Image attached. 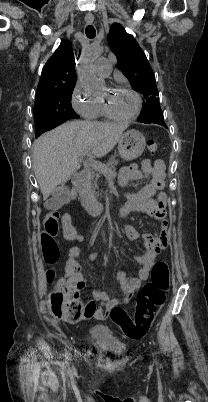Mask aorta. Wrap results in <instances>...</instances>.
Segmentation results:
<instances>
[{"instance_id":"obj_1","label":"aorta","mask_w":208,"mask_h":402,"mask_svg":"<svg viewBox=\"0 0 208 402\" xmlns=\"http://www.w3.org/2000/svg\"><path fill=\"white\" fill-rule=\"evenodd\" d=\"M100 233H103V230H100ZM100 242H101L102 244H105V243L107 242V239L105 238V235H104V234L102 235V238L100 239Z\"/></svg>"}]
</instances>
